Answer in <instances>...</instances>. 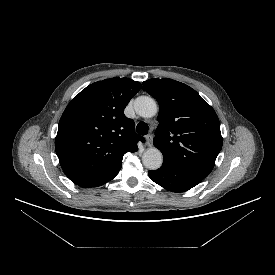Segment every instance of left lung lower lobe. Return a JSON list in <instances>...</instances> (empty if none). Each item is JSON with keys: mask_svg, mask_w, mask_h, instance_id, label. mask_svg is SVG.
<instances>
[{"mask_svg": "<svg viewBox=\"0 0 275 275\" xmlns=\"http://www.w3.org/2000/svg\"><path fill=\"white\" fill-rule=\"evenodd\" d=\"M148 175L152 181L172 192L187 191L203 179L167 162H163L160 169L149 171Z\"/></svg>", "mask_w": 275, "mask_h": 275, "instance_id": "obj_1", "label": "left lung lower lobe"}]
</instances>
